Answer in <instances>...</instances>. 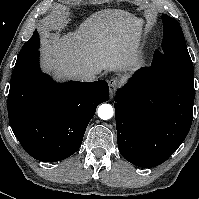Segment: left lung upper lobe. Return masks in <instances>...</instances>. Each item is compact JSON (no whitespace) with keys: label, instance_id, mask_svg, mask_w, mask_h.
I'll return each instance as SVG.
<instances>
[{"label":"left lung upper lobe","instance_id":"1","mask_svg":"<svg viewBox=\"0 0 199 199\" xmlns=\"http://www.w3.org/2000/svg\"><path fill=\"white\" fill-rule=\"evenodd\" d=\"M163 39L162 51L154 54V62L157 64H172L194 71L193 63L188 53L181 26L175 19L168 15H162Z\"/></svg>","mask_w":199,"mask_h":199}]
</instances>
